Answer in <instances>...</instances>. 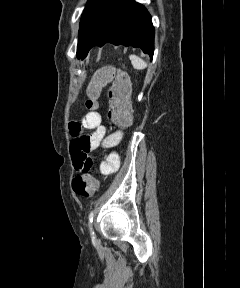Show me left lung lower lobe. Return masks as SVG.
Wrapping results in <instances>:
<instances>
[{"mask_svg":"<svg viewBox=\"0 0 240 288\" xmlns=\"http://www.w3.org/2000/svg\"><path fill=\"white\" fill-rule=\"evenodd\" d=\"M105 43L140 47L152 59L154 27L145 7L135 0H110L92 34L77 52L84 59L89 50Z\"/></svg>","mask_w":240,"mask_h":288,"instance_id":"0a47b994","label":"left lung lower lobe"}]
</instances>
